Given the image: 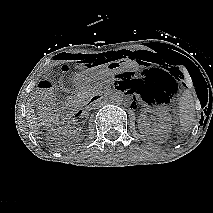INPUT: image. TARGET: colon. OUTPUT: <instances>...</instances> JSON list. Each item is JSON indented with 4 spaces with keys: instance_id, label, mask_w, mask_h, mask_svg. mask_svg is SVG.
Masks as SVG:
<instances>
[{
    "instance_id": "1",
    "label": "colon",
    "mask_w": 213,
    "mask_h": 213,
    "mask_svg": "<svg viewBox=\"0 0 213 213\" xmlns=\"http://www.w3.org/2000/svg\"><path fill=\"white\" fill-rule=\"evenodd\" d=\"M62 70L64 72L68 71L67 66H63ZM40 87V103L42 104L45 111H49L53 108L54 98L52 96V84L48 81H42L39 84Z\"/></svg>"
}]
</instances>
